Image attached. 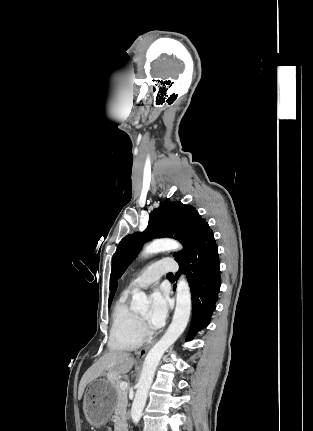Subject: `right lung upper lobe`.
Returning a JSON list of instances; mask_svg holds the SVG:
<instances>
[{"mask_svg": "<svg viewBox=\"0 0 313 431\" xmlns=\"http://www.w3.org/2000/svg\"><path fill=\"white\" fill-rule=\"evenodd\" d=\"M116 287H117V283H115V285L112 287V292H111V294H110V298H109V305H110V304H111V302H112V298H113L114 293H115V291H116Z\"/></svg>", "mask_w": 313, "mask_h": 431, "instance_id": "1", "label": "right lung upper lobe"}]
</instances>
